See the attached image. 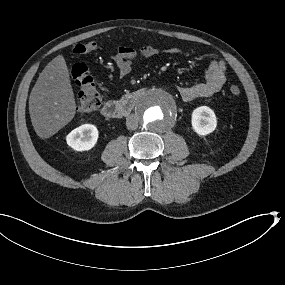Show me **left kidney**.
Instances as JSON below:
<instances>
[{
	"label": "left kidney",
	"instance_id": "left-kidney-1",
	"mask_svg": "<svg viewBox=\"0 0 285 285\" xmlns=\"http://www.w3.org/2000/svg\"><path fill=\"white\" fill-rule=\"evenodd\" d=\"M191 127L198 136L210 135L217 128L215 112L208 106L195 108L191 114Z\"/></svg>",
	"mask_w": 285,
	"mask_h": 285
}]
</instances>
